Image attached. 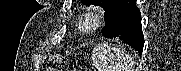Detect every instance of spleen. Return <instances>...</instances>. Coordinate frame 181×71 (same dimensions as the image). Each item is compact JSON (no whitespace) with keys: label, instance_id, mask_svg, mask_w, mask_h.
<instances>
[{"label":"spleen","instance_id":"spleen-1","mask_svg":"<svg viewBox=\"0 0 181 71\" xmlns=\"http://www.w3.org/2000/svg\"><path fill=\"white\" fill-rule=\"evenodd\" d=\"M92 62L98 71H134V61L131 56L108 43L95 46Z\"/></svg>","mask_w":181,"mask_h":71}]
</instances>
